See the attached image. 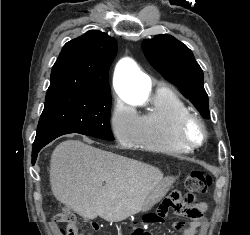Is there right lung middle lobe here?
I'll return each mask as SVG.
<instances>
[{"label": "right lung middle lobe", "mask_w": 250, "mask_h": 235, "mask_svg": "<svg viewBox=\"0 0 250 235\" xmlns=\"http://www.w3.org/2000/svg\"><path fill=\"white\" fill-rule=\"evenodd\" d=\"M110 91L66 92L46 97L37 133L50 129H66L76 133L112 141L109 118Z\"/></svg>", "instance_id": "right-lung-middle-lobe-1"}]
</instances>
